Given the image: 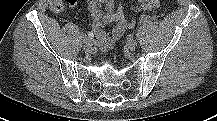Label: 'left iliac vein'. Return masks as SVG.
Here are the masks:
<instances>
[{"label": "left iliac vein", "instance_id": "4c4485c4", "mask_svg": "<svg viewBox=\"0 0 217 121\" xmlns=\"http://www.w3.org/2000/svg\"><path fill=\"white\" fill-rule=\"evenodd\" d=\"M137 45H138V43L134 38H129L126 42V48L128 50H135Z\"/></svg>", "mask_w": 217, "mask_h": 121}]
</instances>
